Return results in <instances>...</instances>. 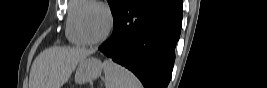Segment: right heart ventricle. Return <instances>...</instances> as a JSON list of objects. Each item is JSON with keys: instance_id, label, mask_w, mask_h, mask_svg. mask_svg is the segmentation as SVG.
Wrapping results in <instances>:
<instances>
[{"instance_id": "obj_1", "label": "right heart ventricle", "mask_w": 267, "mask_h": 88, "mask_svg": "<svg viewBox=\"0 0 267 88\" xmlns=\"http://www.w3.org/2000/svg\"><path fill=\"white\" fill-rule=\"evenodd\" d=\"M92 2V0L69 1L65 33L69 42L74 45L84 46L87 44L80 36L77 26V20L82 10L89 6Z\"/></svg>"}]
</instances>
